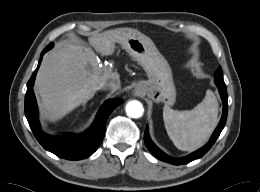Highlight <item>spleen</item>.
Wrapping results in <instances>:
<instances>
[{"label":"spleen","instance_id":"spleen-1","mask_svg":"<svg viewBox=\"0 0 260 192\" xmlns=\"http://www.w3.org/2000/svg\"><path fill=\"white\" fill-rule=\"evenodd\" d=\"M218 101L210 90L192 110L178 111L165 105L163 120L169 138L182 151L200 148L218 124Z\"/></svg>","mask_w":260,"mask_h":192}]
</instances>
